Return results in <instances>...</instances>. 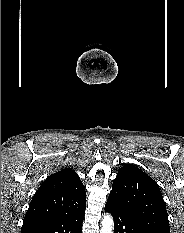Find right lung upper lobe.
Wrapping results in <instances>:
<instances>
[{
    "mask_svg": "<svg viewBox=\"0 0 184 233\" xmlns=\"http://www.w3.org/2000/svg\"><path fill=\"white\" fill-rule=\"evenodd\" d=\"M86 192L75 171L66 168L50 175L34 194L21 233L84 214Z\"/></svg>",
    "mask_w": 184,
    "mask_h": 233,
    "instance_id": "cb5924a9",
    "label": "right lung upper lobe"
}]
</instances>
